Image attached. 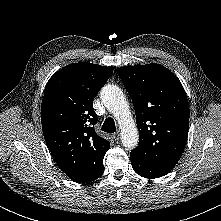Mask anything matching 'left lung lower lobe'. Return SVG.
Returning a JSON list of instances; mask_svg holds the SVG:
<instances>
[{
  "label": "left lung lower lobe",
  "instance_id": "obj_1",
  "mask_svg": "<svg viewBox=\"0 0 221 221\" xmlns=\"http://www.w3.org/2000/svg\"><path fill=\"white\" fill-rule=\"evenodd\" d=\"M130 160L134 171L144 178H158L166 175L174 168L172 165L151 163L132 154H130Z\"/></svg>",
  "mask_w": 221,
  "mask_h": 221
}]
</instances>
